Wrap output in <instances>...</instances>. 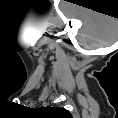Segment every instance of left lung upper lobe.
Returning a JSON list of instances; mask_svg holds the SVG:
<instances>
[{"mask_svg": "<svg viewBox=\"0 0 118 118\" xmlns=\"http://www.w3.org/2000/svg\"><path fill=\"white\" fill-rule=\"evenodd\" d=\"M45 110L55 116H68L69 112L63 108L46 107Z\"/></svg>", "mask_w": 118, "mask_h": 118, "instance_id": "obj_1", "label": "left lung upper lobe"}]
</instances>
